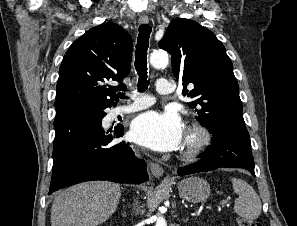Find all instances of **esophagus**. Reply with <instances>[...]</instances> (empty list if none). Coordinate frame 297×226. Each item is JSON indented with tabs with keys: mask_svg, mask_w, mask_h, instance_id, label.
Returning a JSON list of instances; mask_svg holds the SVG:
<instances>
[{
	"mask_svg": "<svg viewBox=\"0 0 297 226\" xmlns=\"http://www.w3.org/2000/svg\"><path fill=\"white\" fill-rule=\"evenodd\" d=\"M138 21H139V24H148L149 19L147 17H140ZM149 167L154 177L160 178L163 176L164 170L159 164L154 162H149Z\"/></svg>",
	"mask_w": 297,
	"mask_h": 226,
	"instance_id": "obj_1",
	"label": "esophagus"
}]
</instances>
